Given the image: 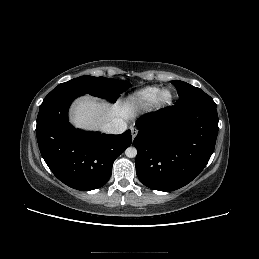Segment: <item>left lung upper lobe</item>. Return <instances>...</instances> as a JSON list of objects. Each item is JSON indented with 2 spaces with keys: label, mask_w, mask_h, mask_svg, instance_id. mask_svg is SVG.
<instances>
[{
  "label": "left lung upper lobe",
  "mask_w": 259,
  "mask_h": 259,
  "mask_svg": "<svg viewBox=\"0 0 259 259\" xmlns=\"http://www.w3.org/2000/svg\"><path fill=\"white\" fill-rule=\"evenodd\" d=\"M171 83L177 89L179 95L178 103H214L213 99L200 88L194 87L186 82L178 80L171 81Z\"/></svg>",
  "instance_id": "obj_1"
}]
</instances>
